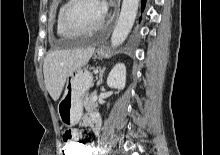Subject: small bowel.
<instances>
[{
	"label": "small bowel",
	"instance_id": "obj_1",
	"mask_svg": "<svg viewBox=\"0 0 220 155\" xmlns=\"http://www.w3.org/2000/svg\"><path fill=\"white\" fill-rule=\"evenodd\" d=\"M81 125L83 127H90L95 134H98L100 131V117L96 113H88L81 121ZM65 130H62L61 141H76L79 139L80 134L78 131V126H65ZM94 146L89 145L86 147L85 155H93L94 154Z\"/></svg>",
	"mask_w": 220,
	"mask_h": 155
}]
</instances>
